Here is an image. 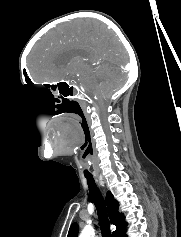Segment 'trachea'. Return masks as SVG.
<instances>
[{
    "mask_svg": "<svg viewBox=\"0 0 181 237\" xmlns=\"http://www.w3.org/2000/svg\"><path fill=\"white\" fill-rule=\"evenodd\" d=\"M87 183L90 191V196L97 208V214L99 219V225L103 237H112L110 232V223L107 215L105 201L100 193V190L95 184V181L91 177H87Z\"/></svg>",
    "mask_w": 181,
    "mask_h": 237,
    "instance_id": "3493384b",
    "label": "trachea"
}]
</instances>
